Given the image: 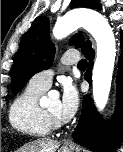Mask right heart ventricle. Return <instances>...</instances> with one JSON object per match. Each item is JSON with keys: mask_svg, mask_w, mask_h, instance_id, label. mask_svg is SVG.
<instances>
[{"mask_svg": "<svg viewBox=\"0 0 123 152\" xmlns=\"http://www.w3.org/2000/svg\"><path fill=\"white\" fill-rule=\"evenodd\" d=\"M44 91L28 85L14 100L9 111V121L15 130L30 137H45L50 133V127L39 106Z\"/></svg>", "mask_w": 123, "mask_h": 152, "instance_id": "right-heart-ventricle-1", "label": "right heart ventricle"}]
</instances>
